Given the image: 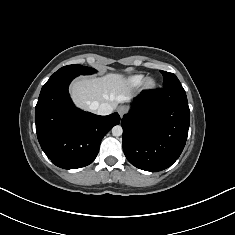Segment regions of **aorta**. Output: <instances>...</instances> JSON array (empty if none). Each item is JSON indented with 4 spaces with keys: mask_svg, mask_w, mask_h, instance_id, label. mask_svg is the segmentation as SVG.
<instances>
[{
    "mask_svg": "<svg viewBox=\"0 0 235 235\" xmlns=\"http://www.w3.org/2000/svg\"><path fill=\"white\" fill-rule=\"evenodd\" d=\"M122 133H123V129H122V127H121L120 125H116V126H114V127L112 128V134H113V136L118 137V136H121Z\"/></svg>",
    "mask_w": 235,
    "mask_h": 235,
    "instance_id": "762f6f07",
    "label": "aorta"
}]
</instances>
